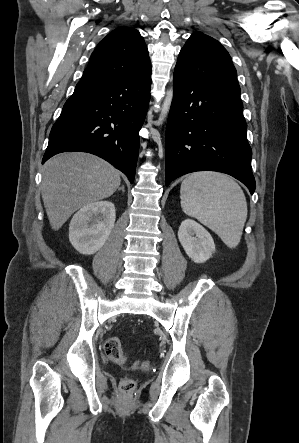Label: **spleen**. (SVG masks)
Listing matches in <instances>:
<instances>
[{"label":"spleen","mask_w":299,"mask_h":443,"mask_svg":"<svg viewBox=\"0 0 299 443\" xmlns=\"http://www.w3.org/2000/svg\"><path fill=\"white\" fill-rule=\"evenodd\" d=\"M180 198L185 214L216 232L228 247L239 244L247 202L232 178L214 172L191 174L181 184Z\"/></svg>","instance_id":"1"}]
</instances>
